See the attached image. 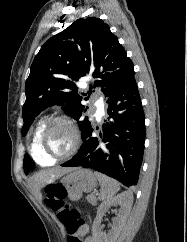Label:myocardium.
Instances as JSON below:
<instances>
[{"label":"myocardium","instance_id":"f54148a6","mask_svg":"<svg viewBox=\"0 0 187 242\" xmlns=\"http://www.w3.org/2000/svg\"><path fill=\"white\" fill-rule=\"evenodd\" d=\"M56 124H64V125L68 126L70 128V130L72 132V136H73V143H72L71 148L66 153L61 154V155H52L47 151V149L45 147L46 136L49 133V131L51 130V128L53 126H55ZM80 144H81V135H80V131H79L77 124L75 123V121L73 119H71L70 117L65 116V115H59V116H56V117L50 119L44 126V128L40 134V137H39V148H40L42 154L45 157L53 160L54 162L57 160H64V159H67V158L73 156L78 151Z\"/></svg>","mask_w":187,"mask_h":242}]
</instances>
